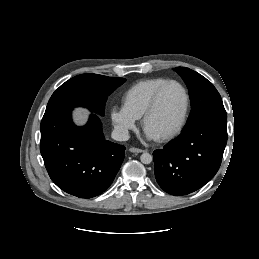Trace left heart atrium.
I'll return each mask as SVG.
<instances>
[{"label":"left heart atrium","mask_w":259,"mask_h":259,"mask_svg":"<svg viewBox=\"0 0 259 259\" xmlns=\"http://www.w3.org/2000/svg\"><path fill=\"white\" fill-rule=\"evenodd\" d=\"M146 137L148 139H155L156 137H154L153 135H151L149 132L146 131Z\"/></svg>","instance_id":"obj_1"}]
</instances>
